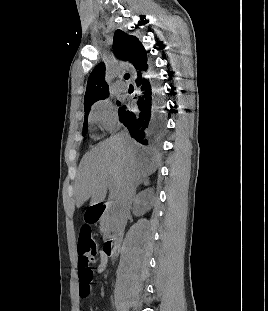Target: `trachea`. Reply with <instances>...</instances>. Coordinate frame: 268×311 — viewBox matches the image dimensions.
<instances>
[{"label": "trachea", "instance_id": "obj_1", "mask_svg": "<svg viewBox=\"0 0 268 311\" xmlns=\"http://www.w3.org/2000/svg\"><path fill=\"white\" fill-rule=\"evenodd\" d=\"M129 78H130V74H129V73H126V74L124 75V79L128 80Z\"/></svg>", "mask_w": 268, "mask_h": 311}]
</instances>
